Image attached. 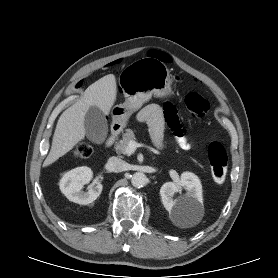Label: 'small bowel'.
Segmentation results:
<instances>
[{"label":"small bowel","instance_id":"c3829d8e","mask_svg":"<svg viewBox=\"0 0 278 278\" xmlns=\"http://www.w3.org/2000/svg\"><path fill=\"white\" fill-rule=\"evenodd\" d=\"M164 113L160 106L156 104H151L146 107H144L139 113H138V120L141 122H146L149 126L151 137L154 141V143L157 146H160L162 144L163 139V131H164V117H166L167 122L170 124V126L175 131V134L177 135L178 142L180 146L183 149H189L190 144L188 143L187 139L182 134L181 126L179 124L176 111L174 107L166 103L164 105Z\"/></svg>","mask_w":278,"mask_h":278}]
</instances>
